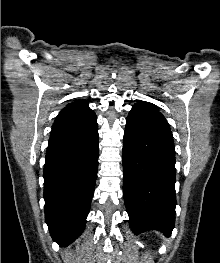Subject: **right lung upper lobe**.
I'll return each instance as SVG.
<instances>
[{"label":"right lung upper lobe","mask_w":220,"mask_h":263,"mask_svg":"<svg viewBox=\"0 0 220 263\" xmlns=\"http://www.w3.org/2000/svg\"><path fill=\"white\" fill-rule=\"evenodd\" d=\"M97 127L95 113L84 100L75 101L62 109L55 119L51 134L77 137L90 133Z\"/></svg>","instance_id":"obj_1"}]
</instances>
